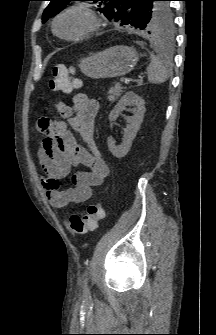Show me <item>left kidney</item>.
<instances>
[{
    "mask_svg": "<svg viewBox=\"0 0 216 335\" xmlns=\"http://www.w3.org/2000/svg\"><path fill=\"white\" fill-rule=\"evenodd\" d=\"M134 106L133 116H126L127 126L124 129L122 143L115 145L111 137H108L107 144L110 152L117 158L124 157L130 150L132 142L143 122L145 109V101L134 92H127L116 104L109 114V121H115L119 114L126 109V106Z\"/></svg>",
    "mask_w": 216,
    "mask_h": 335,
    "instance_id": "1",
    "label": "left kidney"
}]
</instances>
